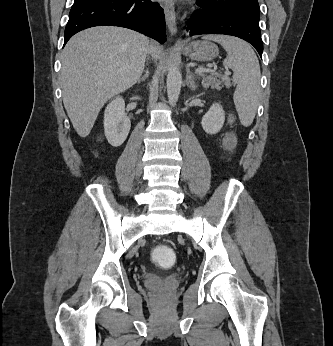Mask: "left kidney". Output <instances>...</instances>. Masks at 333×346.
I'll return each mask as SVG.
<instances>
[{"label":"left kidney","instance_id":"left-kidney-1","mask_svg":"<svg viewBox=\"0 0 333 346\" xmlns=\"http://www.w3.org/2000/svg\"><path fill=\"white\" fill-rule=\"evenodd\" d=\"M225 122V113L219 103H213L209 111L202 117L201 125L207 134L218 133Z\"/></svg>","mask_w":333,"mask_h":346}]
</instances>
